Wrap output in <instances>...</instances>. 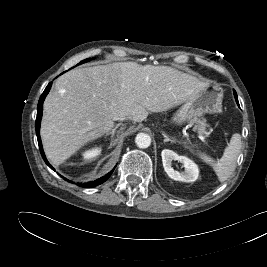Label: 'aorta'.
I'll list each match as a JSON object with an SVG mask.
<instances>
[{
    "label": "aorta",
    "instance_id": "1",
    "mask_svg": "<svg viewBox=\"0 0 267 267\" xmlns=\"http://www.w3.org/2000/svg\"><path fill=\"white\" fill-rule=\"evenodd\" d=\"M135 143L139 148H148L151 144V137L146 133H138L135 138Z\"/></svg>",
    "mask_w": 267,
    "mask_h": 267
}]
</instances>
